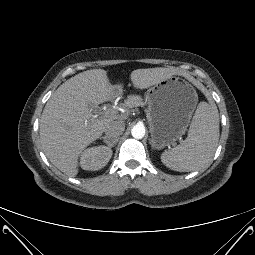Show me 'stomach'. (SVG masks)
<instances>
[{
	"label": "stomach",
	"instance_id": "stomach-1",
	"mask_svg": "<svg viewBox=\"0 0 255 255\" xmlns=\"http://www.w3.org/2000/svg\"><path fill=\"white\" fill-rule=\"evenodd\" d=\"M146 98L152 147L175 145L190 123L198 99L196 90L184 78L171 75L152 86Z\"/></svg>",
	"mask_w": 255,
	"mask_h": 255
}]
</instances>
